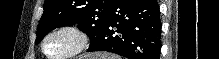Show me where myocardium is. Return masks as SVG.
Instances as JSON below:
<instances>
[{
  "mask_svg": "<svg viewBox=\"0 0 219 59\" xmlns=\"http://www.w3.org/2000/svg\"><path fill=\"white\" fill-rule=\"evenodd\" d=\"M61 33H65L73 36L76 42L75 46L70 52L62 56H51L46 52V43L51 37ZM88 45H89V36L84 30H82L76 25L66 24V25L58 26L52 29L51 31H49L43 37L40 48L42 54L48 59H70L84 52L87 49Z\"/></svg>",
  "mask_w": 219,
  "mask_h": 59,
  "instance_id": "f54148a6",
  "label": "myocardium"
}]
</instances>
